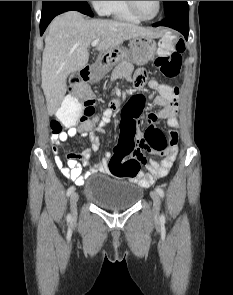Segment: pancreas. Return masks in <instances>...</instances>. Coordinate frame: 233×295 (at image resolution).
<instances>
[{
  "label": "pancreas",
  "instance_id": "obj_1",
  "mask_svg": "<svg viewBox=\"0 0 233 295\" xmlns=\"http://www.w3.org/2000/svg\"><path fill=\"white\" fill-rule=\"evenodd\" d=\"M134 66L127 60H122L112 71L111 80L118 78H130Z\"/></svg>",
  "mask_w": 233,
  "mask_h": 295
}]
</instances>
